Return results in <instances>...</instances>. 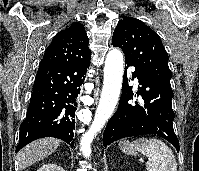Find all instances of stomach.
<instances>
[{
	"mask_svg": "<svg viewBox=\"0 0 199 171\" xmlns=\"http://www.w3.org/2000/svg\"><path fill=\"white\" fill-rule=\"evenodd\" d=\"M120 148L121 150L128 154V155H136L137 154V150L131 146V143H129L128 141H123L120 143Z\"/></svg>",
	"mask_w": 199,
	"mask_h": 171,
	"instance_id": "obj_1",
	"label": "stomach"
}]
</instances>
